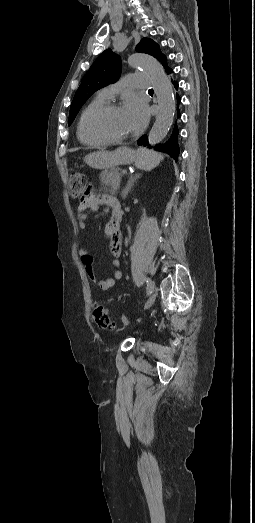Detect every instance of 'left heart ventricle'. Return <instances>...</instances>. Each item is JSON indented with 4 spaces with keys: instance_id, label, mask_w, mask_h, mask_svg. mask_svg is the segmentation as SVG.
Wrapping results in <instances>:
<instances>
[{
    "instance_id": "b2bd125f",
    "label": "left heart ventricle",
    "mask_w": 255,
    "mask_h": 523,
    "mask_svg": "<svg viewBox=\"0 0 255 523\" xmlns=\"http://www.w3.org/2000/svg\"><path fill=\"white\" fill-rule=\"evenodd\" d=\"M90 126L100 135L131 137L135 134L133 118L126 106L98 114L91 120Z\"/></svg>"
}]
</instances>
